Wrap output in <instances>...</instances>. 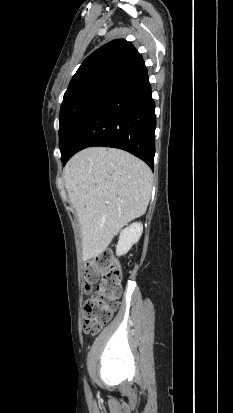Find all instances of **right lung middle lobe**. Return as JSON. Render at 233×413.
Listing matches in <instances>:
<instances>
[{
  "label": "right lung middle lobe",
  "mask_w": 233,
  "mask_h": 413,
  "mask_svg": "<svg viewBox=\"0 0 233 413\" xmlns=\"http://www.w3.org/2000/svg\"><path fill=\"white\" fill-rule=\"evenodd\" d=\"M115 80L110 77L98 78L64 95L59 117L61 159L68 154L83 124Z\"/></svg>",
  "instance_id": "dd1d6c3e"
}]
</instances>
